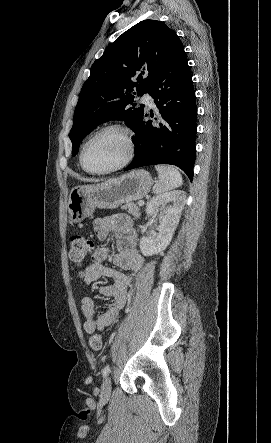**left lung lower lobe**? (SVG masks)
Wrapping results in <instances>:
<instances>
[{"label": "left lung lower lobe", "instance_id": "1", "mask_svg": "<svg viewBox=\"0 0 271 443\" xmlns=\"http://www.w3.org/2000/svg\"><path fill=\"white\" fill-rule=\"evenodd\" d=\"M148 93L158 108L157 123L137 125L135 157L125 170L155 164L181 168L192 181L197 132V105L190 67L181 45L175 47L153 76ZM153 116V113H151Z\"/></svg>", "mask_w": 271, "mask_h": 443}]
</instances>
